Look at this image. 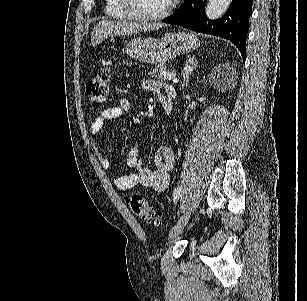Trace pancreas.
I'll use <instances>...</instances> for the list:
<instances>
[{"mask_svg":"<svg viewBox=\"0 0 307 301\" xmlns=\"http://www.w3.org/2000/svg\"><path fill=\"white\" fill-rule=\"evenodd\" d=\"M162 72H170V68L166 64H156L155 68L149 70V74L154 78H164ZM164 80H167V78H164Z\"/></svg>","mask_w":307,"mask_h":301,"instance_id":"pancreas-1","label":"pancreas"}]
</instances>
